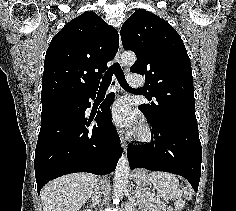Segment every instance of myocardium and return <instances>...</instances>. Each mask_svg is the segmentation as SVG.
Here are the masks:
<instances>
[{
	"mask_svg": "<svg viewBox=\"0 0 236 211\" xmlns=\"http://www.w3.org/2000/svg\"><path fill=\"white\" fill-rule=\"evenodd\" d=\"M151 137L152 132L148 123L141 124L134 132V138L139 142H149Z\"/></svg>",
	"mask_w": 236,
	"mask_h": 211,
	"instance_id": "obj_1",
	"label": "myocardium"
}]
</instances>
